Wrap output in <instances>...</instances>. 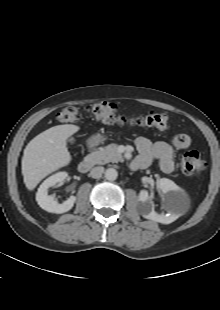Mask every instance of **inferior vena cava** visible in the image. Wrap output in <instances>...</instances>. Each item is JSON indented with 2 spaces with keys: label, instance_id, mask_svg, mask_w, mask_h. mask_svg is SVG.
Returning a JSON list of instances; mask_svg holds the SVG:
<instances>
[{
  "label": "inferior vena cava",
  "instance_id": "1",
  "mask_svg": "<svg viewBox=\"0 0 220 310\" xmlns=\"http://www.w3.org/2000/svg\"><path fill=\"white\" fill-rule=\"evenodd\" d=\"M104 173V167L102 166H97V167H94L91 172H90V176L92 178H100L102 176V174Z\"/></svg>",
  "mask_w": 220,
  "mask_h": 310
}]
</instances>
